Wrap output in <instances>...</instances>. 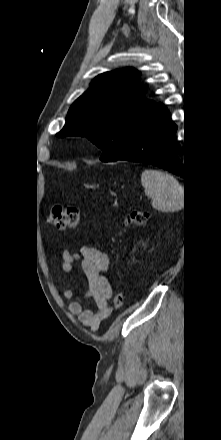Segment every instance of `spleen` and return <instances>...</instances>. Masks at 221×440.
I'll return each mask as SVG.
<instances>
[{
  "label": "spleen",
  "mask_w": 221,
  "mask_h": 440,
  "mask_svg": "<svg viewBox=\"0 0 221 440\" xmlns=\"http://www.w3.org/2000/svg\"><path fill=\"white\" fill-rule=\"evenodd\" d=\"M141 182L154 209L170 212L182 207L183 187L171 174L147 169L142 172Z\"/></svg>",
  "instance_id": "1"
}]
</instances>
